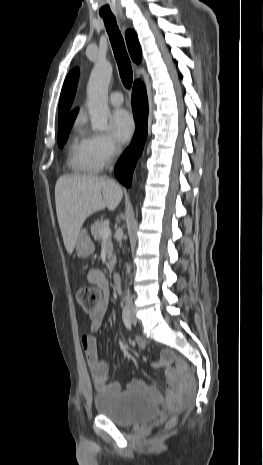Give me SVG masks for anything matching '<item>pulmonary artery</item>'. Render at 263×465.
<instances>
[{
	"mask_svg": "<svg viewBox=\"0 0 263 465\" xmlns=\"http://www.w3.org/2000/svg\"><path fill=\"white\" fill-rule=\"evenodd\" d=\"M109 102L112 105H120L123 103V95L119 91L112 92L109 96Z\"/></svg>",
	"mask_w": 263,
	"mask_h": 465,
	"instance_id": "1",
	"label": "pulmonary artery"
}]
</instances>
